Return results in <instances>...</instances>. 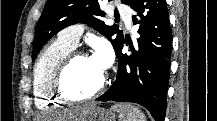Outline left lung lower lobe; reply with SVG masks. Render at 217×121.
I'll list each match as a JSON object with an SVG mask.
<instances>
[{
    "mask_svg": "<svg viewBox=\"0 0 217 121\" xmlns=\"http://www.w3.org/2000/svg\"><path fill=\"white\" fill-rule=\"evenodd\" d=\"M137 12L133 25L139 24L136 48L122 54L126 39L115 53L118 59L116 80L99 101L133 102L148 109L156 121H164L172 52V31L165 0H132Z\"/></svg>",
    "mask_w": 217,
    "mask_h": 121,
    "instance_id": "left-lung-lower-lobe-1",
    "label": "left lung lower lobe"
}]
</instances>
